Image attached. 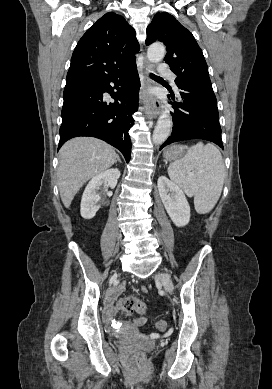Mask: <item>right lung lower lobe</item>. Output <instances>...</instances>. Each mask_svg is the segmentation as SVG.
<instances>
[{
	"label": "right lung lower lobe",
	"mask_w": 272,
	"mask_h": 389,
	"mask_svg": "<svg viewBox=\"0 0 272 389\" xmlns=\"http://www.w3.org/2000/svg\"><path fill=\"white\" fill-rule=\"evenodd\" d=\"M110 82L115 84L110 86ZM140 83L136 63L100 78L66 83L58 149L70 138L92 136L119 149L130 160L132 114L138 108ZM109 93L114 103L104 101Z\"/></svg>",
	"instance_id": "right-lung-lower-lobe-1"
}]
</instances>
